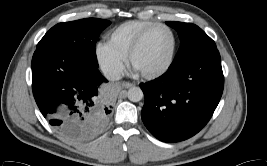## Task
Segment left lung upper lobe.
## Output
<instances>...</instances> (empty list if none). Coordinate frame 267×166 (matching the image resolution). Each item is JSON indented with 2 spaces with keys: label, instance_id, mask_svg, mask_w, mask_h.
I'll return each mask as SVG.
<instances>
[{
  "label": "left lung upper lobe",
  "instance_id": "5c2ea615",
  "mask_svg": "<svg viewBox=\"0 0 267 166\" xmlns=\"http://www.w3.org/2000/svg\"><path fill=\"white\" fill-rule=\"evenodd\" d=\"M173 27L181 40L180 48L172 63H181L203 51L215 49V42L198 26L192 23L166 22Z\"/></svg>",
  "mask_w": 267,
  "mask_h": 166
}]
</instances>
